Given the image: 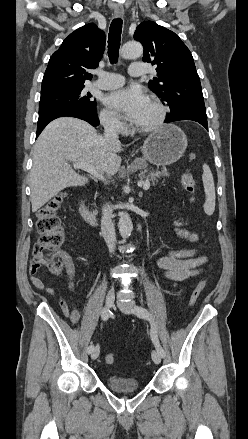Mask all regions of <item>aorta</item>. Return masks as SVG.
Wrapping results in <instances>:
<instances>
[{
	"instance_id": "obj_1",
	"label": "aorta",
	"mask_w": 248,
	"mask_h": 439,
	"mask_svg": "<svg viewBox=\"0 0 248 439\" xmlns=\"http://www.w3.org/2000/svg\"><path fill=\"white\" fill-rule=\"evenodd\" d=\"M143 53V47L139 42L132 41L127 42L123 45L121 49V56L125 59L138 58ZM119 233L123 238H127L131 235L133 230V224L131 217L128 213L122 212L120 214L118 222Z\"/></svg>"
}]
</instances>
